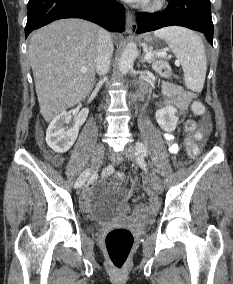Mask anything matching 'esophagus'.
Segmentation results:
<instances>
[{"mask_svg":"<svg viewBox=\"0 0 233 284\" xmlns=\"http://www.w3.org/2000/svg\"><path fill=\"white\" fill-rule=\"evenodd\" d=\"M137 29L135 14L132 11H126V30L129 34L135 33Z\"/></svg>","mask_w":233,"mask_h":284,"instance_id":"obj_1","label":"esophagus"}]
</instances>
